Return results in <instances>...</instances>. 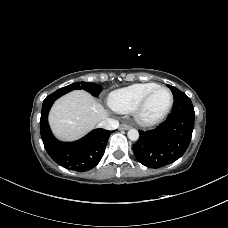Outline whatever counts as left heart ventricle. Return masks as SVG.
Here are the masks:
<instances>
[{
	"label": "left heart ventricle",
	"instance_id": "obj_1",
	"mask_svg": "<svg viewBox=\"0 0 228 228\" xmlns=\"http://www.w3.org/2000/svg\"><path fill=\"white\" fill-rule=\"evenodd\" d=\"M170 103V95L166 90L156 91L148 100L143 116L146 119H153L160 116L168 107Z\"/></svg>",
	"mask_w": 228,
	"mask_h": 228
}]
</instances>
